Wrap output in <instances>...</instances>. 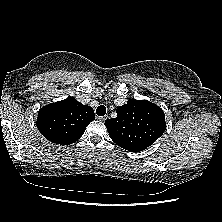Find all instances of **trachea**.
Returning a JSON list of instances; mask_svg holds the SVG:
<instances>
[{
  "instance_id": "1",
  "label": "trachea",
  "mask_w": 222,
  "mask_h": 222,
  "mask_svg": "<svg viewBox=\"0 0 222 222\" xmlns=\"http://www.w3.org/2000/svg\"><path fill=\"white\" fill-rule=\"evenodd\" d=\"M96 114L98 116H104L106 114V107L104 105H100L96 109Z\"/></svg>"
}]
</instances>
